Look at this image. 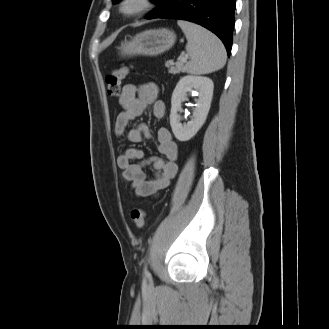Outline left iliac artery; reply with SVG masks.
Instances as JSON below:
<instances>
[{
    "label": "left iliac artery",
    "mask_w": 329,
    "mask_h": 329,
    "mask_svg": "<svg viewBox=\"0 0 329 329\" xmlns=\"http://www.w3.org/2000/svg\"><path fill=\"white\" fill-rule=\"evenodd\" d=\"M144 274H145L146 276H150V273H149V271H148V269H147V265H146L145 268H144Z\"/></svg>",
    "instance_id": "1"
}]
</instances>
